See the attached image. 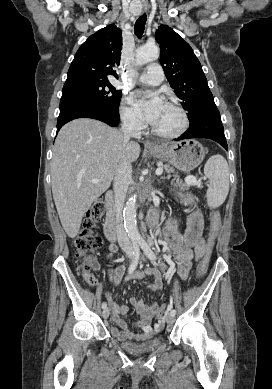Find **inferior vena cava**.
I'll use <instances>...</instances> for the list:
<instances>
[{
  "label": "inferior vena cava",
  "instance_id": "602c4592",
  "mask_svg": "<svg viewBox=\"0 0 272 389\" xmlns=\"http://www.w3.org/2000/svg\"><path fill=\"white\" fill-rule=\"evenodd\" d=\"M121 130L124 137V141H123L124 146L129 142L131 137L137 139L141 138L140 125L132 117L124 118ZM131 181H132V165L129 161L123 160L119 163L116 169L113 189H114V209H115V216H116L115 224H116L117 240L120 248L126 253L133 252V246L122 224V220H123L122 208H123L126 191Z\"/></svg>",
  "mask_w": 272,
  "mask_h": 389
}]
</instances>
